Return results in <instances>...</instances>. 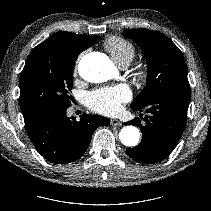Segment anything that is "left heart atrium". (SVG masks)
Instances as JSON below:
<instances>
[{"instance_id": "39dd6f15", "label": "left heart atrium", "mask_w": 211, "mask_h": 211, "mask_svg": "<svg viewBox=\"0 0 211 211\" xmlns=\"http://www.w3.org/2000/svg\"><path fill=\"white\" fill-rule=\"evenodd\" d=\"M129 99L130 92L125 86L101 88L88 95L87 105L95 112L112 115L119 112Z\"/></svg>"}]
</instances>
